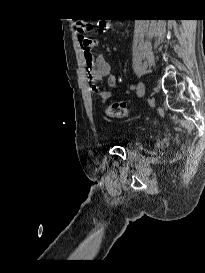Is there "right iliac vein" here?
Wrapping results in <instances>:
<instances>
[{
  "instance_id": "right-iliac-vein-1",
  "label": "right iliac vein",
  "mask_w": 205,
  "mask_h": 273,
  "mask_svg": "<svg viewBox=\"0 0 205 273\" xmlns=\"http://www.w3.org/2000/svg\"><path fill=\"white\" fill-rule=\"evenodd\" d=\"M144 92H145V84L141 81L139 82L137 86V90H136L137 96L142 97L144 95Z\"/></svg>"
}]
</instances>
